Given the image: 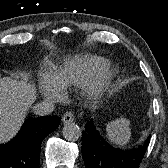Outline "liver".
I'll return each instance as SVG.
<instances>
[{
    "mask_svg": "<svg viewBox=\"0 0 168 168\" xmlns=\"http://www.w3.org/2000/svg\"><path fill=\"white\" fill-rule=\"evenodd\" d=\"M35 98V88L26 79L0 77V143L17 134Z\"/></svg>",
    "mask_w": 168,
    "mask_h": 168,
    "instance_id": "6515ba94",
    "label": "liver"
}]
</instances>
